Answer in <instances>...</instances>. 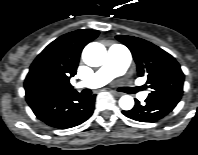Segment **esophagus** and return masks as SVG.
I'll use <instances>...</instances> for the list:
<instances>
[{
    "label": "esophagus",
    "mask_w": 198,
    "mask_h": 155,
    "mask_svg": "<svg viewBox=\"0 0 198 155\" xmlns=\"http://www.w3.org/2000/svg\"><path fill=\"white\" fill-rule=\"evenodd\" d=\"M111 93H112L114 96H117V97L122 96V93H121V92H118V91H115V90H112Z\"/></svg>",
    "instance_id": "34e87169"
}]
</instances>
